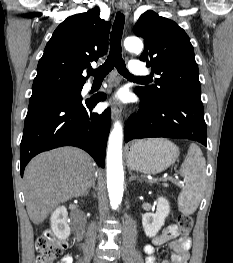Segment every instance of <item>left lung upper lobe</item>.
Returning <instances> with one entry per match:
<instances>
[{
	"label": "left lung upper lobe",
	"mask_w": 233,
	"mask_h": 263,
	"mask_svg": "<svg viewBox=\"0 0 233 263\" xmlns=\"http://www.w3.org/2000/svg\"><path fill=\"white\" fill-rule=\"evenodd\" d=\"M134 32L145 42L140 60L160 75L156 85L137 88L150 103L158 104L177 94L201 96L193 46L182 28L149 10L140 16Z\"/></svg>",
	"instance_id": "1"
}]
</instances>
